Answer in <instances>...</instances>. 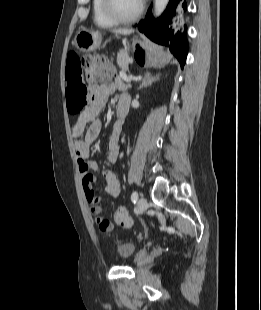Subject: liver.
<instances>
[{
	"mask_svg": "<svg viewBox=\"0 0 261 310\" xmlns=\"http://www.w3.org/2000/svg\"><path fill=\"white\" fill-rule=\"evenodd\" d=\"M132 32H133V30H131V29H118L115 31V33L121 34V35H129Z\"/></svg>",
	"mask_w": 261,
	"mask_h": 310,
	"instance_id": "obj_1",
	"label": "liver"
}]
</instances>
